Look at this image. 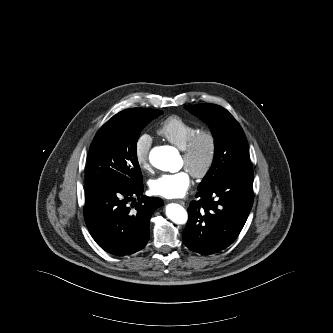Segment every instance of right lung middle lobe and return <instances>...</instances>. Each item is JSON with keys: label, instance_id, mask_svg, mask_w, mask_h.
Here are the masks:
<instances>
[{"label": "right lung middle lobe", "instance_id": "1", "mask_svg": "<svg viewBox=\"0 0 333 333\" xmlns=\"http://www.w3.org/2000/svg\"><path fill=\"white\" fill-rule=\"evenodd\" d=\"M162 113L160 110L132 108L107 121L91 143L86 181L142 183L137 140L142 129Z\"/></svg>", "mask_w": 333, "mask_h": 333}]
</instances>
